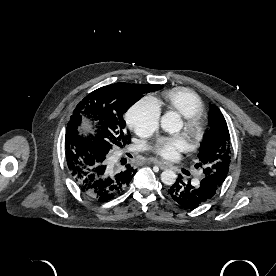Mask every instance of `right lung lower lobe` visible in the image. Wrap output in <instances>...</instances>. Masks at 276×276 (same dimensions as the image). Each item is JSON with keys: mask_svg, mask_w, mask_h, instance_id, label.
<instances>
[{"mask_svg": "<svg viewBox=\"0 0 276 276\" xmlns=\"http://www.w3.org/2000/svg\"><path fill=\"white\" fill-rule=\"evenodd\" d=\"M66 160L71 176L88 198L106 202L117 197L128 186L136 169L130 165L113 171L108 165L107 155L95 141L76 135L65 139Z\"/></svg>", "mask_w": 276, "mask_h": 276, "instance_id": "98d812e1", "label": "right lung lower lobe"}]
</instances>
